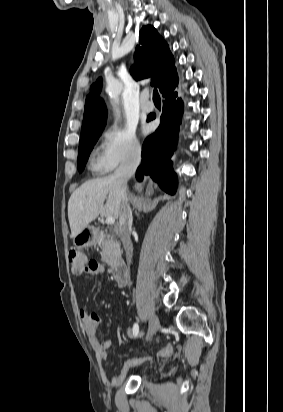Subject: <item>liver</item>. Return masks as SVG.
<instances>
[{
  "mask_svg": "<svg viewBox=\"0 0 283 412\" xmlns=\"http://www.w3.org/2000/svg\"><path fill=\"white\" fill-rule=\"evenodd\" d=\"M121 203L122 184L114 175L83 183L68 201L71 237L74 238L99 215L118 219Z\"/></svg>",
  "mask_w": 283,
  "mask_h": 412,
  "instance_id": "6515ba94",
  "label": "liver"
}]
</instances>
